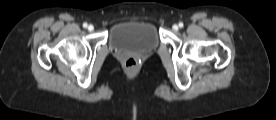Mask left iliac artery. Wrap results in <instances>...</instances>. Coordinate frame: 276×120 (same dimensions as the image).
Segmentation results:
<instances>
[{"instance_id":"obj_1","label":"left iliac artery","mask_w":276,"mask_h":120,"mask_svg":"<svg viewBox=\"0 0 276 120\" xmlns=\"http://www.w3.org/2000/svg\"><path fill=\"white\" fill-rule=\"evenodd\" d=\"M184 25L182 22L179 23V27L182 28Z\"/></svg>"}]
</instances>
